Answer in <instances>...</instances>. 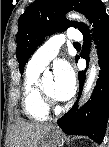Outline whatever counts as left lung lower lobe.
Listing matches in <instances>:
<instances>
[{
    "label": "left lung lower lobe",
    "instance_id": "obj_1",
    "mask_svg": "<svg viewBox=\"0 0 109 147\" xmlns=\"http://www.w3.org/2000/svg\"><path fill=\"white\" fill-rule=\"evenodd\" d=\"M93 23L95 42L97 44L100 64L99 78L91 99L77 111V103L73 108L61 117L57 124L69 135H86L100 144L103 141L107 120L109 117V16L103 3L99 4L90 17ZM84 36V46H87L83 58L89 60L88 50L90 47L89 29L85 25L80 30ZM85 71L79 73V94L85 80Z\"/></svg>",
    "mask_w": 109,
    "mask_h": 147
}]
</instances>
